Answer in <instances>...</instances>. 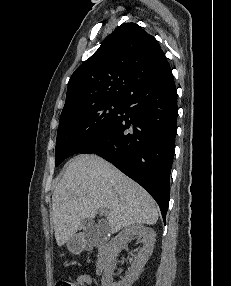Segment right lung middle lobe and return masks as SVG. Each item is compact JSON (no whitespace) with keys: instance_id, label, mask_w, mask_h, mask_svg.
<instances>
[{"instance_id":"1","label":"right lung middle lobe","mask_w":231,"mask_h":286,"mask_svg":"<svg viewBox=\"0 0 231 286\" xmlns=\"http://www.w3.org/2000/svg\"><path fill=\"white\" fill-rule=\"evenodd\" d=\"M123 115V101H108L60 117L56 166L100 138Z\"/></svg>"}]
</instances>
